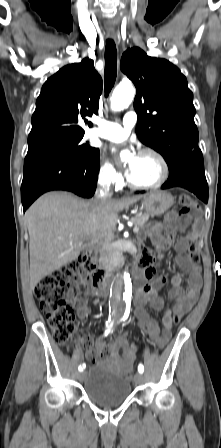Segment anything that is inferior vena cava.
<instances>
[{"instance_id": "1", "label": "inferior vena cava", "mask_w": 221, "mask_h": 448, "mask_svg": "<svg viewBox=\"0 0 221 448\" xmlns=\"http://www.w3.org/2000/svg\"><path fill=\"white\" fill-rule=\"evenodd\" d=\"M110 180L105 179L100 182V188L97 190L96 201L97 203H103L111 199L112 194L109 192Z\"/></svg>"}]
</instances>
